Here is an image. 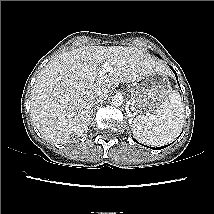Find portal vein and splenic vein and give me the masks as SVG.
Returning a JSON list of instances; mask_svg holds the SVG:
<instances>
[{"instance_id":"1","label":"portal vein and splenic vein","mask_w":214,"mask_h":214,"mask_svg":"<svg viewBox=\"0 0 214 214\" xmlns=\"http://www.w3.org/2000/svg\"><path fill=\"white\" fill-rule=\"evenodd\" d=\"M106 72H113V69L110 67L108 62H105L103 64V67L101 68V70L99 71L100 75H104Z\"/></svg>"}]
</instances>
